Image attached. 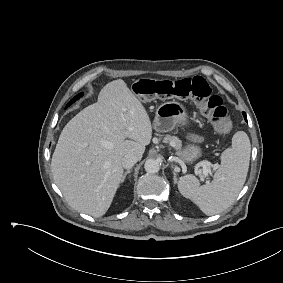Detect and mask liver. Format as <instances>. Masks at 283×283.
<instances>
[{
  "instance_id": "1",
  "label": "liver",
  "mask_w": 283,
  "mask_h": 283,
  "mask_svg": "<svg viewBox=\"0 0 283 283\" xmlns=\"http://www.w3.org/2000/svg\"><path fill=\"white\" fill-rule=\"evenodd\" d=\"M151 138L145 107L122 79L114 80L62 130L51 161L54 181L74 209L100 217L123 177L122 158L134 153L140 160Z\"/></svg>"
}]
</instances>
